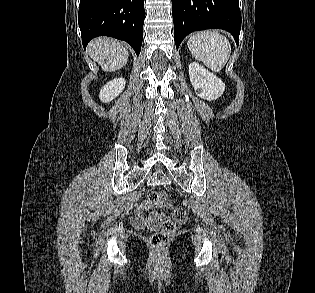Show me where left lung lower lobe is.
<instances>
[{"label": "left lung lower lobe", "instance_id": "left-lung-lower-lobe-1", "mask_svg": "<svg viewBox=\"0 0 315 293\" xmlns=\"http://www.w3.org/2000/svg\"><path fill=\"white\" fill-rule=\"evenodd\" d=\"M172 14L177 49L189 33L211 28L230 32L238 44L241 29L238 0H172Z\"/></svg>", "mask_w": 315, "mask_h": 293}]
</instances>
